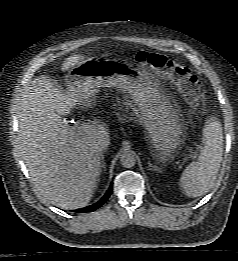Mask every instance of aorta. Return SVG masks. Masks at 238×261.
Masks as SVG:
<instances>
[{
    "label": "aorta",
    "instance_id": "762f6f07",
    "mask_svg": "<svg viewBox=\"0 0 238 261\" xmlns=\"http://www.w3.org/2000/svg\"><path fill=\"white\" fill-rule=\"evenodd\" d=\"M120 162L125 168H132L136 164V157L132 153H124L120 158Z\"/></svg>",
    "mask_w": 238,
    "mask_h": 261
}]
</instances>
